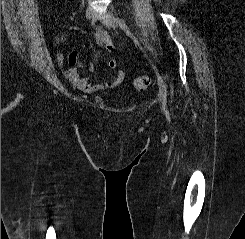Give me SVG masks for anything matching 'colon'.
I'll return each mask as SVG.
<instances>
[{"label":"colon","instance_id":"1","mask_svg":"<svg viewBox=\"0 0 245 239\" xmlns=\"http://www.w3.org/2000/svg\"><path fill=\"white\" fill-rule=\"evenodd\" d=\"M151 83V79L148 76H139L134 81V86L138 91H145Z\"/></svg>","mask_w":245,"mask_h":239}]
</instances>
